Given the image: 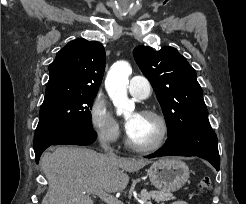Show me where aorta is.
<instances>
[{
	"mask_svg": "<svg viewBox=\"0 0 246 204\" xmlns=\"http://www.w3.org/2000/svg\"><path fill=\"white\" fill-rule=\"evenodd\" d=\"M131 72L132 68L128 62L118 61L110 68L106 77V89L118 116L129 117L135 110V103L127 95L128 78Z\"/></svg>",
	"mask_w": 246,
	"mask_h": 204,
	"instance_id": "762f6f07",
	"label": "aorta"
}]
</instances>
